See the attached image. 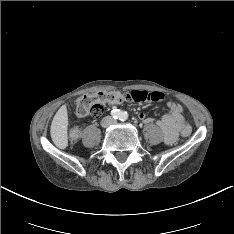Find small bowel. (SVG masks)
Masks as SVG:
<instances>
[{"mask_svg":"<svg viewBox=\"0 0 234 234\" xmlns=\"http://www.w3.org/2000/svg\"><path fill=\"white\" fill-rule=\"evenodd\" d=\"M166 105L168 112L159 120L147 117L144 111L139 113V117L145 124L155 122L164 133L165 143L171 144L176 140L178 132L184 129L185 117L179 104L168 101Z\"/></svg>","mask_w":234,"mask_h":234,"instance_id":"small-bowel-1","label":"small bowel"}]
</instances>
